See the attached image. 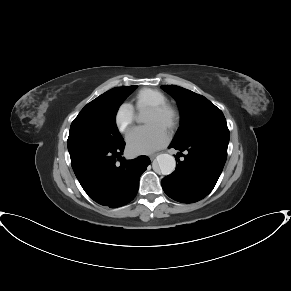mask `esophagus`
Listing matches in <instances>:
<instances>
[{
  "label": "esophagus",
  "instance_id": "34e87169",
  "mask_svg": "<svg viewBox=\"0 0 291 291\" xmlns=\"http://www.w3.org/2000/svg\"><path fill=\"white\" fill-rule=\"evenodd\" d=\"M158 155V153H153L150 155V159L153 160L156 156Z\"/></svg>",
  "mask_w": 291,
  "mask_h": 291
}]
</instances>
